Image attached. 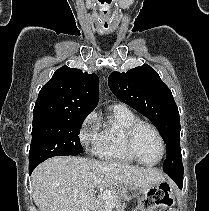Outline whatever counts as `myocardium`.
I'll return each instance as SVG.
<instances>
[{
	"instance_id": "1",
	"label": "myocardium",
	"mask_w": 209,
	"mask_h": 211,
	"mask_svg": "<svg viewBox=\"0 0 209 211\" xmlns=\"http://www.w3.org/2000/svg\"><path fill=\"white\" fill-rule=\"evenodd\" d=\"M142 127L150 128L155 133V135L157 136V138L160 142L161 154H160L159 159L156 162L147 163V162L143 161L136 153L135 146H134L135 138H136L138 131ZM124 146H125L127 153L129 154V156L135 162H137L141 165L147 166V167H153V166L158 165L163 160V158L165 156V152H166L165 140H164L161 132L159 131V129L154 124H152L148 121H144V120H137L128 127V129L126 130L125 136H124Z\"/></svg>"
}]
</instances>
